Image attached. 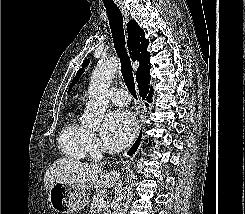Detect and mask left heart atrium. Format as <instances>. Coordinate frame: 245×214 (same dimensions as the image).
I'll return each instance as SVG.
<instances>
[{"label":"left heart atrium","mask_w":245,"mask_h":214,"mask_svg":"<svg viewBox=\"0 0 245 214\" xmlns=\"http://www.w3.org/2000/svg\"><path fill=\"white\" fill-rule=\"evenodd\" d=\"M136 122L133 115L125 109L109 113L103 123L102 137L106 148L119 151L126 147L134 137Z\"/></svg>","instance_id":"obj_1"}]
</instances>
